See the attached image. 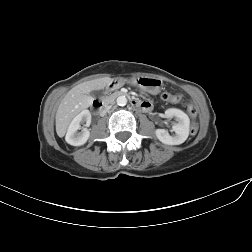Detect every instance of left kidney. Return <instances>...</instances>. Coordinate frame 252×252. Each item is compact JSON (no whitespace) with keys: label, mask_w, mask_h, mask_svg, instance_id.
<instances>
[{"label":"left kidney","mask_w":252,"mask_h":252,"mask_svg":"<svg viewBox=\"0 0 252 252\" xmlns=\"http://www.w3.org/2000/svg\"><path fill=\"white\" fill-rule=\"evenodd\" d=\"M166 118H175L177 123L172 126L175 135H170L165 129H156L159 141L167 145H179L186 141L189 135L190 120L182 110L170 108L165 111Z\"/></svg>","instance_id":"left-kidney-1"}]
</instances>
